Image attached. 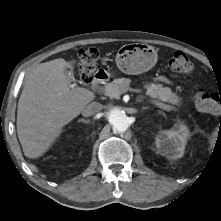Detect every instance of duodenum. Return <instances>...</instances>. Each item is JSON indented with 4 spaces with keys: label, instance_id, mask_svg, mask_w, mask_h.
I'll return each instance as SVG.
<instances>
[{
    "label": "duodenum",
    "instance_id": "1",
    "mask_svg": "<svg viewBox=\"0 0 221 221\" xmlns=\"http://www.w3.org/2000/svg\"><path fill=\"white\" fill-rule=\"evenodd\" d=\"M108 79V75L104 70H98L94 75L93 87L97 88L101 83Z\"/></svg>",
    "mask_w": 221,
    "mask_h": 221
}]
</instances>
